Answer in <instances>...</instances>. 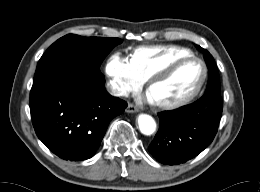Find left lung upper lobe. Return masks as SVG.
<instances>
[{"instance_id": "left-lung-upper-lobe-1", "label": "left lung upper lobe", "mask_w": 260, "mask_h": 192, "mask_svg": "<svg viewBox=\"0 0 260 192\" xmlns=\"http://www.w3.org/2000/svg\"><path fill=\"white\" fill-rule=\"evenodd\" d=\"M198 49L205 53V59L209 68V81L204 95H220L219 73L212 55L205 49L198 46Z\"/></svg>"}]
</instances>
